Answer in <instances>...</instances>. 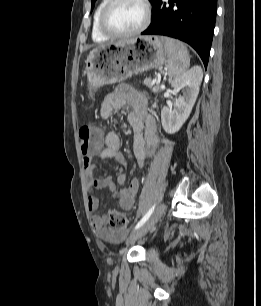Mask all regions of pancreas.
Listing matches in <instances>:
<instances>
[{
    "mask_svg": "<svg viewBox=\"0 0 261 306\" xmlns=\"http://www.w3.org/2000/svg\"><path fill=\"white\" fill-rule=\"evenodd\" d=\"M144 83H145V85H146L148 88L152 89V91H153L154 93H157V92L159 91V89H160L158 85H156V86L153 87L152 81H151L150 79H146V80L144 81Z\"/></svg>",
    "mask_w": 261,
    "mask_h": 306,
    "instance_id": "1",
    "label": "pancreas"
}]
</instances>
